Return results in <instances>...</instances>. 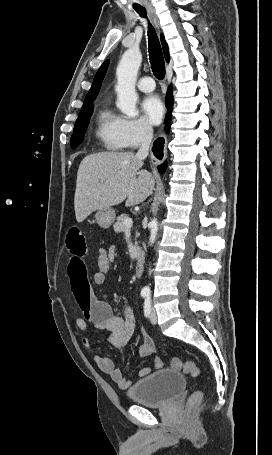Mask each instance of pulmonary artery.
<instances>
[{
  "mask_svg": "<svg viewBox=\"0 0 272 455\" xmlns=\"http://www.w3.org/2000/svg\"><path fill=\"white\" fill-rule=\"evenodd\" d=\"M137 87L143 92H152L155 89V82L151 77L145 76L139 79Z\"/></svg>",
  "mask_w": 272,
  "mask_h": 455,
  "instance_id": "e3ab8cb5",
  "label": "pulmonary artery"
}]
</instances>
